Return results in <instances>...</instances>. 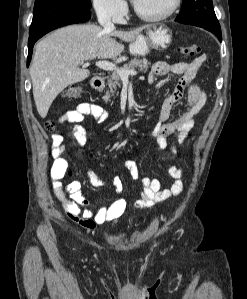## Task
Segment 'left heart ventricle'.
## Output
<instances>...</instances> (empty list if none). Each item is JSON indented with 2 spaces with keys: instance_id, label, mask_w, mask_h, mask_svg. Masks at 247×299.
I'll return each mask as SVG.
<instances>
[{
  "instance_id": "1",
  "label": "left heart ventricle",
  "mask_w": 247,
  "mask_h": 299,
  "mask_svg": "<svg viewBox=\"0 0 247 299\" xmlns=\"http://www.w3.org/2000/svg\"><path fill=\"white\" fill-rule=\"evenodd\" d=\"M172 0H137L136 7L147 14H158L164 12Z\"/></svg>"
}]
</instances>
